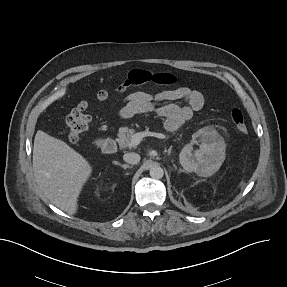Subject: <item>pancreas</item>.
Segmentation results:
<instances>
[{
  "label": "pancreas",
  "mask_w": 287,
  "mask_h": 287,
  "mask_svg": "<svg viewBox=\"0 0 287 287\" xmlns=\"http://www.w3.org/2000/svg\"><path fill=\"white\" fill-rule=\"evenodd\" d=\"M135 130L128 127H121L118 133V143L120 148H131L130 141L132 136L135 134Z\"/></svg>",
  "instance_id": "cf45deb5"
}]
</instances>
